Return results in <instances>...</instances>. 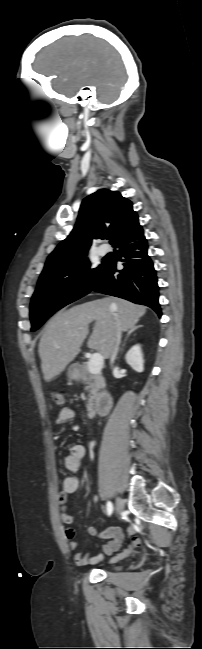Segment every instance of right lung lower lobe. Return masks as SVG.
<instances>
[{"label": "right lung lower lobe", "instance_id": "right-lung-lower-lobe-1", "mask_svg": "<svg viewBox=\"0 0 202 649\" xmlns=\"http://www.w3.org/2000/svg\"><path fill=\"white\" fill-rule=\"evenodd\" d=\"M113 247L119 249L124 269L116 268V260L104 261L90 290L149 306L161 317L156 270L143 230L121 238Z\"/></svg>", "mask_w": 202, "mask_h": 649}]
</instances>
